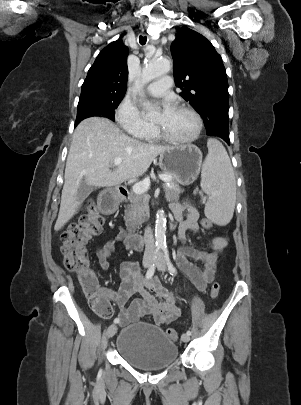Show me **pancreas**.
Returning a JSON list of instances; mask_svg holds the SVG:
<instances>
[{
	"label": "pancreas",
	"instance_id": "1",
	"mask_svg": "<svg viewBox=\"0 0 301 405\" xmlns=\"http://www.w3.org/2000/svg\"><path fill=\"white\" fill-rule=\"evenodd\" d=\"M171 176L169 183L171 186H165V197L167 201H178L181 193L180 187L174 182V177ZM128 200L130 204L125 209V224L127 229L135 231L139 229L145 221L146 212L148 211L149 196L147 194H137L131 191Z\"/></svg>",
	"mask_w": 301,
	"mask_h": 405
}]
</instances>
